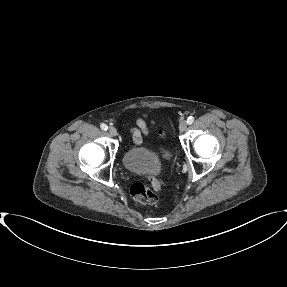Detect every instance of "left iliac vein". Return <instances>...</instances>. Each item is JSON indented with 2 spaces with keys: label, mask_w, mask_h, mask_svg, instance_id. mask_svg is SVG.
<instances>
[{
  "label": "left iliac vein",
  "mask_w": 287,
  "mask_h": 287,
  "mask_svg": "<svg viewBox=\"0 0 287 287\" xmlns=\"http://www.w3.org/2000/svg\"><path fill=\"white\" fill-rule=\"evenodd\" d=\"M188 124L186 121H181L180 125H179V129L181 132H184L187 130Z\"/></svg>",
  "instance_id": "1"
}]
</instances>
